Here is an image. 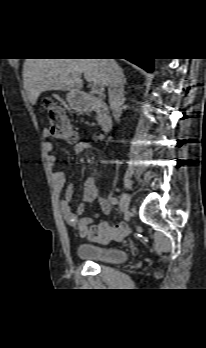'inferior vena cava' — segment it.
Listing matches in <instances>:
<instances>
[{"instance_id":"inferior-vena-cava-1","label":"inferior vena cava","mask_w":206,"mask_h":348,"mask_svg":"<svg viewBox=\"0 0 206 348\" xmlns=\"http://www.w3.org/2000/svg\"><path fill=\"white\" fill-rule=\"evenodd\" d=\"M107 69V86L109 104L113 118L119 122L121 116V106L124 102V83L122 70L114 59H104Z\"/></svg>"}]
</instances>
